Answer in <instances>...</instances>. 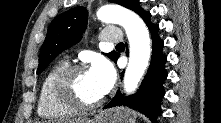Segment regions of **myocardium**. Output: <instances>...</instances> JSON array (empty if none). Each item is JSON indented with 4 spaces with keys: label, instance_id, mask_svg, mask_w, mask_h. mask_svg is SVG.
Returning <instances> with one entry per match:
<instances>
[{
    "label": "myocardium",
    "instance_id": "f54148a6",
    "mask_svg": "<svg viewBox=\"0 0 221 123\" xmlns=\"http://www.w3.org/2000/svg\"><path fill=\"white\" fill-rule=\"evenodd\" d=\"M86 71V68L82 65H68L58 73L54 80L53 88L56 98L65 106L76 111L97 109L105 100V97L102 96L95 102L86 103L76 95L73 89V79L77 74Z\"/></svg>",
    "mask_w": 221,
    "mask_h": 123
}]
</instances>
